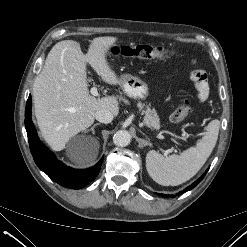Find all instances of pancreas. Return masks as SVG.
<instances>
[{
	"label": "pancreas",
	"instance_id": "1",
	"mask_svg": "<svg viewBox=\"0 0 247 247\" xmlns=\"http://www.w3.org/2000/svg\"><path fill=\"white\" fill-rule=\"evenodd\" d=\"M138 108L142 110L144 108V104L139 102L137 104ZM144 112V123L146 126H148L151 129H159L160 127V121L157 112L154 109H150L148 106L146 107Z\"/></svg>",
	"mask_w": 247,
	"mask_h": 247
}]
</instances>
